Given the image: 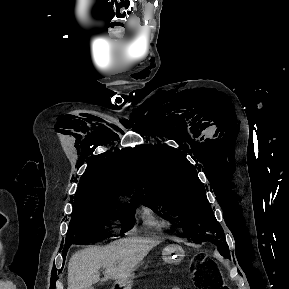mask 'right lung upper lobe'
I'll return each mask as SVG.
<instances>
[{
    "label": "right lung upper lobe",
    "instance_id": "obj_1",
    "mask_svg": "<svg viewBox=\"0 0 289 289\" xmlns=\"http://www.w3.org/2000/svg\"><path fill=\"white\" fill-rule=\"evenodd\" d=\"M100 160V163L95 160L82 175L75 200L127 198L137 201V196L133 195L135 182L129 168L132 162L126 150H115Z\"/></svg>",
    "mask_w": 289,
    "mask_h": 289
}]
</instances>
